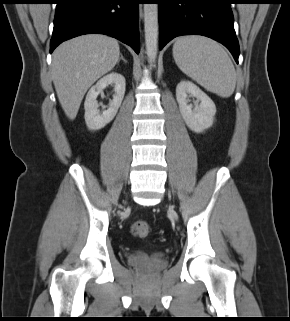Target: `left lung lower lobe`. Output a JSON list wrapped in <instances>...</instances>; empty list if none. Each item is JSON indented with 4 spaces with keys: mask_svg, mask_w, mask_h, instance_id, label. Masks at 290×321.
I'll use <instances>...</instances> for the list:
<instances>
[{
    "mask_svg": "<svg viewBox=\"0 0 290 321\" xmlns=\"http://www.w3.org/2000/svg\"><path fill=\"white\" fill-rule=\"evenodd\" d=\"M159 4V48L182 35H203L225 45L238 63L239 44L233 26L232 0H156Z\"/></svg>",
    "mask_w": 290,
    "mask_h": 321,
    "instance_id": "left-lung-lower-lobe-1",
    "label": "left lung lower lobe"
}]
</instances>
